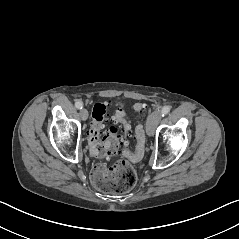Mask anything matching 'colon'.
<instances>
[{
	"label": "colon",
	"instance_id": "5ec220e1",
	"mask_svg": "<svg viewBox=\"0 0 239 239\" xmlns=\"http://www.w3.org/2000/svg\"><path fill=\"white\" fill-rule=\"evenodd\" d=\"M137 111H145L146 105L136 103ZM111 125L107 133L101 136V130L106 122ZM130 133V126L124 112L115 114L109 120L108 104L105 102L96 103L91 114V124L88 132V145L92 155L96 157H109L120 155L131 160H138L143 156L145 148V130L143 125L135 128L136 148L134 152H128L125 145V137ZM91 179L95 187L108 193H125L130 191L136 181L137 174L133 165L124 158H119L111 165H96L91 173Z\"/></svg>",
	"mask_w": 239,
	"mask_h": 239
}]
</instances>
